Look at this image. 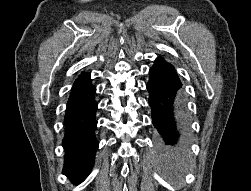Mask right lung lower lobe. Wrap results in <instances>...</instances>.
I'll return each mask as SVG.
<instances>
[{
  "instance_id": "98d812e1",
  "label": "right lung lower lobe",
  "mask_w": 251,
  "mask_h": 191,
  "mask_svg": "<svg viewBox=\"0 0 251 191\" xmlns=\"http://www.w3.org/2000/svg\"><path fill=\"white\" fill-rule=\"evenodd\" d=\"M90 74L78 77L72 87L64 118L65 164L63 174L82 182L90 173L99 142L94 135L98 105Z\"/></svg>"
}]
</instances>
